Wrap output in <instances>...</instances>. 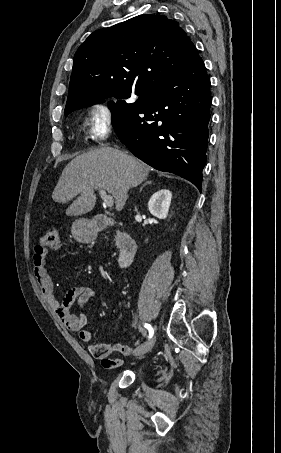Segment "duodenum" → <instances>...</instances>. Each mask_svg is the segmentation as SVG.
Here are the masks:
<instances>
[{"mask_svg":"<svg viewBox=\"0 0 281 453\" xmlns=\"http://www.w3.org/2000/svg\"><path fill=\"white\" fill-rule=\"evenodd\" d=\"M114 222L105 217L96 218L93 222L95 230L100 231L107 226L113 225ZM116 241L119 248V263L125 267L129 265L137 252L136 241L127 233L122 231L116 232Z\"/></svg>","mask_w":281,"mask_h":453,"instance_id":"410a0bca","label":"duodenum"}]
</instances>
